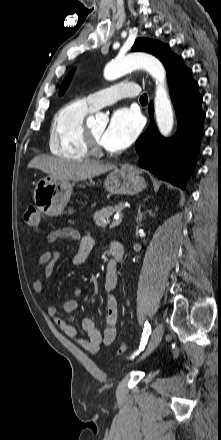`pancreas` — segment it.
<instances>
[{
    "mask_svg": "<svg viewBox=\"0 0 221 440\" xmlns=\"http://www.w3.org/2000/svg\"><path fill=\"white\" fill-rule=\"evenodd\" d=\"M123 208L124 207H122V206L104 207L101 210L95 212L93 219L98 227L105 228L107 225L106 219H108L114 213H121Z\"/></svg>",
    "mask_w": 221,
    "mask_h": 440,
    "instance_id": "1",
    "label": "pancreas"
}]
</instances>
